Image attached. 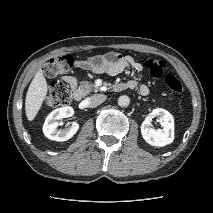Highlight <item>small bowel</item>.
Returning a JSON list of instances; mask_svg holds the SVG:
<instances>
[{
    "instance_id": "small-bowel-1",
    "label": "small bowel",
    "mask_w": 213,
    "mask_h": 213,
    "mask_svg": "<svg viewBox=\"0 0 213 213\" xmlns=\"http://www.w3.org/2000/svg\"><path fill=\"white\" fill-rule=\"evenodd\" d=\"M75 67L83 70H89L96 74H107L109 76H116L124 71H132L137 78L130 80L125 84L130 86V89L135 88L139 84L141 78L142 64L136 61L133 57L128 55H121L116 53H108L105 55L92 56L83 60H78ZM63 80L75 91L78 89V78L74 75H65ZM141 95L149 94V88L145 84L139 86Z\"/></svg>"
}]
</instances>
